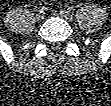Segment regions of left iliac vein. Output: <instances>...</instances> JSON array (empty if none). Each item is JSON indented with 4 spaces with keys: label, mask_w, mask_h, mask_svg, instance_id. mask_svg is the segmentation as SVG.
I'll list each match as a JSON object with an SVG mask.
<instances>
[{
    "label": "left iliac vein",
    "mask_w": 111,
    "mask_h": 106,
    "mask_svg": "<svg viewBox=\"0 0 111 106\" xmlns=\"http://www.w3.org/2000/svg\"><path fill=\"white\" fill-rule=\"evenodd\" d=\"M53 15L65 18L66 20H69V21L73 19V15L70 12L64 11V10L55 11L53 12Z\"/></svg>",
    "instance_id": "4c4485c4"
}]
</instances>
